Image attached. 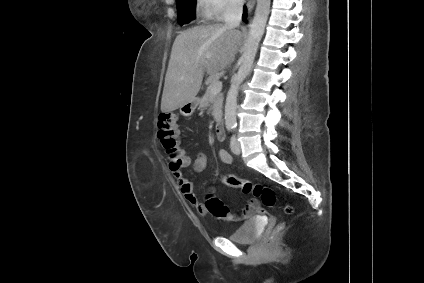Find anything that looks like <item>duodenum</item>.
Masks as SVG:
<instances>
[{"mask_svg":"<svg viewBox=\"0 0 424 283\" xmlns=\"http://www.w3.org/2000/svg\"><path fill=\"white\" fill-rule=\"evenodd\" d=\"M223 131H224V120L220 118L218 119L215 125V135L218 140L223 139Z\"/></svg>","mask_w":424,"mask_h":283,"instance_id":"obj_1","label":"duodenum"}]
</instances>
